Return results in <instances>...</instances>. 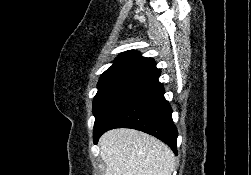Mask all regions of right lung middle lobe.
Wrapping results in <instances>:
<instances>
[{"mask_svg": "<svg viewBox=\"0 0 251 175\" xmlns=\"http://www.w3.org/2000/svg\"><path fill=\"white\" fill-rule=\"evenodd\" d=\"M138 80L132 77H113L100 79L98 92L93 100V114L95 116L94 132L97 131L99 123L108 107L124 92L129 86Z\"/></svg>", "mask_w": 251, "mask_h": 175, "instance_id": "dd1d6c3e", "label": "right lung middle lobe"}]
</instances>
